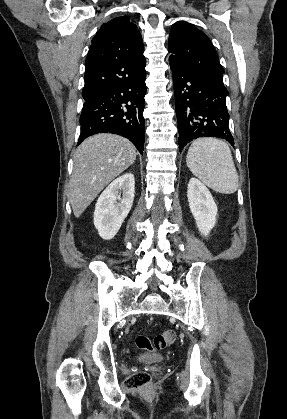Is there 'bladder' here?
<instances>
[{
	"label": "bladder",
	"instance_id": "1",
	"mask_svg": "<svg viewBox=\"0 0 287 419\" xmlns=\"http://www.w3.org/2000/svg\"><path fill=\"white\" fill-rule=\"evenodd\" d=\"M162 359L163 358L161 356H149V357L143 358V361L154 363V362H160L162 361Z\"/></svg>",
	"mask_w": 287,
	"mask_h": 419
}]
</instances>
